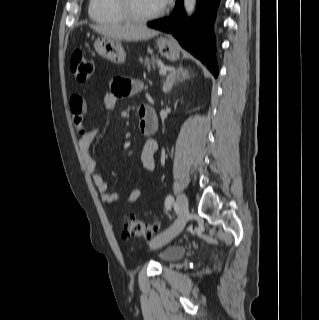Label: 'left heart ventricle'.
<instances>
[{
    "label": "left heart ventricle",
    "mask_w": 319,
    "mask_h": 320,
    "mask_svg": "<svg viewBox=\"0 0 319 320\" xmlns=\"http://www.w3.org/2000/svg\"><path fill=\"white\" fill-rule=\"evenodd\" d=\"M133 6L141 15H149L161 9L156 0H133Z\"/></svg>",
    "instance_id": "obj_1"
}]
</instances>
